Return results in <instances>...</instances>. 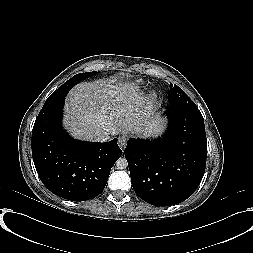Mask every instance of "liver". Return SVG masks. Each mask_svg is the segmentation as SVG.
<instances>
[{"instance_id": "obj_1", "label": "liver", "mask_w": 253, "mask_h": 253, "mask_svg": "<svg viewBox=\"0 0 253 253\" xmlns=\"http://www.w3.org/2000/svg\"><path fill=\"white\" fill-rule=\"evenodd\" d=\"M146 97L133 83L97 80L73 87L66 97L64 126L75 137L96 141L102 134L152 133Z\"/></svg>"}]
</instances>
